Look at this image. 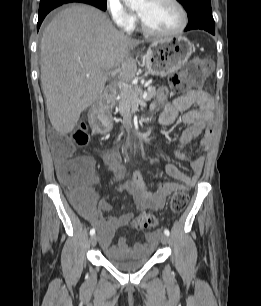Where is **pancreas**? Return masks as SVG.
<instances>
[{
    "instance_id": "pancreas-1",
    "label": "pancreas",
    "mask_w": 261,
    "mask_h": 306,
    "mask_svg": "<svg viewBox=\"0 0 261 306\" xmlns=\"http://www.w3.org/2000/svg\"><path fill=\"white\" fill-rule=\"evenodd\" d=\"M145 95V98H143ZM156 95L155 87L148 86V90L144 92L141 87L134 86L129 90H120L118 112L122 116H127L132 108L137 107L138 100L143 102L150 101Z\"/></svg>"
}]
</instances>
